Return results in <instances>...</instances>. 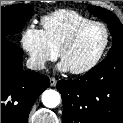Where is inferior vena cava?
I'll list each match as a JSON object with an SVG mask.
<instances>
[{
	"instance_id": "602c4592",
	"label": "inferior vena cava",
	"mask_w": 123,
	"mask_h": 123,
	"mask_svg": "<svg viewBox=\"0 0 123 123\" xmlns=\"http://www.w3.org/2000/svg\"><path fill=\"white\" fill-rule=\"evenodd\" d=\"M26 66L31 70H42L45 68V61L41 58L30 57L26 61Z\"/></svg>"
}]
</instances>
